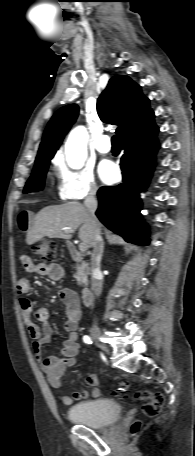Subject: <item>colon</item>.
<instances>
[{
    "mask_svg": "<svg viewBox=\"0 0 195 456\" xmlns=\"http://www.w3.org/2000/svg\"><path fill=\"white\" fill-rule=\"evenodd\" d=\"M34 251L42 260L49 264H54L59 259L57 244L52 240L43 241L41 244L34 247ZM128 389V381L126 379H121L118 382L116 389L113 391V395L126 397ZM135 398L144 401L143 413L148 417H154L158 415L164 405V396L160 392L143 390L137 392ZM140 427V421L134 422L131 426V433L136 434L140 430Z\"/></svg>",
    "mask_w": 195,
    "mask_h": 456,
    "instance_id": "1",
    "label": "colon"
}]
</instances>
